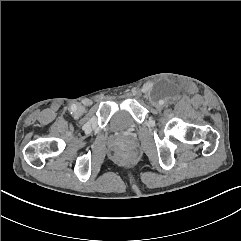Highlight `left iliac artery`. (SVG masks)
Segmentation results:
<instances>
[{
    "instance_id": "44dca946",
    "label": "left iliac artery",
    "mask_w": 241,
    "mask_h": 241,
    "mask_svg": "<svg viewBox=\"0 0 241 241\" xmlns=\"http://www.w3.org/2000/svg\"><path fill=\"white\" fill-rule=\"evenodd\" d=\"M159 103L162 105V104H164V101H163V100H161V101H159Z\"/></svg>"
}]
</instances>
